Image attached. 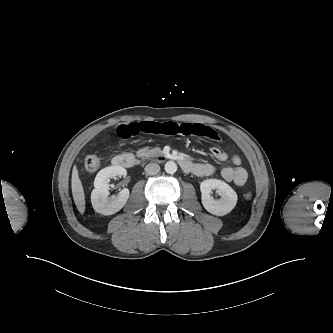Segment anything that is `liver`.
<instances>
[{
    "label": "liver",
    "mask_w": 333,
    "mask_h": 333,
    "mask_svg": "<svg viewBox=\"0 0 333 333\" xmlns=\"http://www.w3.org/2000/svg\"><path fill=\"white\" fill-rule=\"evenodd\" d=\"M71 188L73 199L78 211L83 214L85 212V195L82 182L79 178L77 165L74 166L71 178Z\"/></svg>",
    "instance_id": "liver-1"
}]
</instances>
